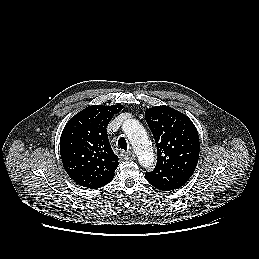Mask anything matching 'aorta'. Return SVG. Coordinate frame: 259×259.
Masks as SVG:
<instances>
[{"mask_svg":"<svg viewBox=\"0 0 259 259\" xmlns=\"http://www.w3.org/2000/svg\"><path fill=\"white\" fill-rule=\"evenodd\" d=\"M122 128L135 149L139 163L145 168H151L154 163V152L144 127L135 119H127Z\"/></svg>","mask_w":259,"mask_h":259,"instance_id":"obj_1","label":"aorta"}]
</instances>
